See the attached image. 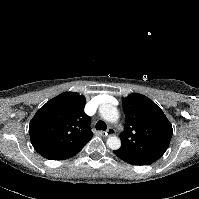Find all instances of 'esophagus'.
I'll return each mask as SVG.
<instances>
[{"mask_svg":"<svg viewBox=\"0 0 199 199\" xmlns=\"http://www.w3.org/2000/svg\"><path fill=\"white\" fill-rule=\"evenodd\" d=\"M115 132H116L115 129L108 128V130L106 132H103V135H105V136H111V135H114Z\"/></svg>","mask_w":199,"mask_h":199,"instance_id":"1","label":"esophagus"}]
</instances>
